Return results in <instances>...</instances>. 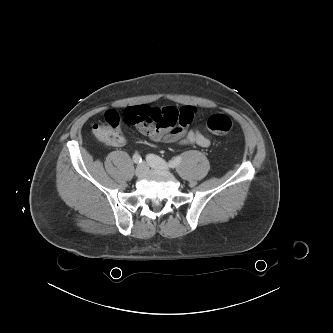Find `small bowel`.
I'll use <instances>...</instances> for the list:
<instances>
[{
    "instance_id": "obj_1",
    "label": "small bowel",
    "mask_w": 333,
    "mask_h": 333,
    "mask_svg": "<svg viewBox=\"0 0 333 333\" xmlns=\"http://www.w3.org/2000/svg\"><path fill=\"white\" fill-rule=\"evenodd\" d=\"M195 114L196 110L190 106L180 109L172 106H134L125 111V117L134 129L152 141L208 147L211 143L208 136L198 130L189 129ZM125 143V136L117 130L111 146L120 147Z\"/></svg>"
}]
</instances>
